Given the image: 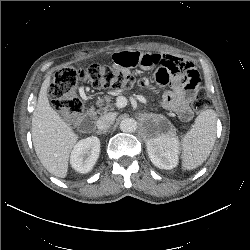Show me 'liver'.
<instances>
[{
	"mask_svg": "<svg viewBox=\"0 0 250 250\" xmlns=\"http://www.w3.org/2000/svg\"><path fill=\"white\" fill-rule=\"evenodd\" d=\"M51 76L43 81L32 115V141L42 165L52 175L65 178L68 161L78 135L50 106L47 90Z\"/></svg>",
	"mask_w": 250,
	"mask_h": 250,
	"instance_id": "obj_1",
	"label": "liver"
}]
</instances>
